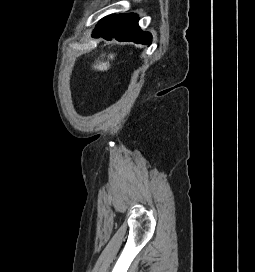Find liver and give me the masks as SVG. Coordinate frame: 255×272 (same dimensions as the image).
Segmentation results:
<instances>
[{
  "mask_svg": "<svg viewBox=\"0 0 255 272\" xmlns=\"http://www.w3.org/2000/svg\"><path fill=\"white\" fill-rule=\"evenodd\" d=\"M114 58V55L113 54H110L108 56V61H97L96 64L93 66V68L95 70H98V71H107L109 68H110V63H109V59H113Z\"/></svg>",
  "mask_w": 255,
  "mask_h": 272,
  "instance_id": "6515ba94",
  "label": "liver"
}]
</instances>
